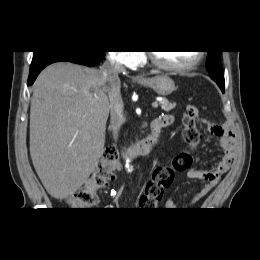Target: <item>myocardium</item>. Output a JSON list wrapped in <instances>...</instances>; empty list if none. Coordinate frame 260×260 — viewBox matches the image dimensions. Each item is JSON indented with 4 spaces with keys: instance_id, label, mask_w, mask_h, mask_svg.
<instances>
[{
    "instance_id": "1",
    "label": "myocardium",
    "mask_w": 260,
    "mask_h": 260,
    "mask_svg": "<svg viewBox=\"0 0 260 260\" xmlns=\"http://www.w3.org/2000/svg\"><path fill=\"white\" fill-rule=\"evenodd\" d=\"M147 56H148V59L150 60V62L154 66H156L157 68H160V69L165 70V71L184 72V71L192 70L196 66H198L200 64V62L202 61L203 57H204V52L203 51H197L196 58L192 62H190L188 64H184V65L167 64V63L163 62L156 55L155 52H152V51L147 52Z\"/></svg>"
}]
</instances>
